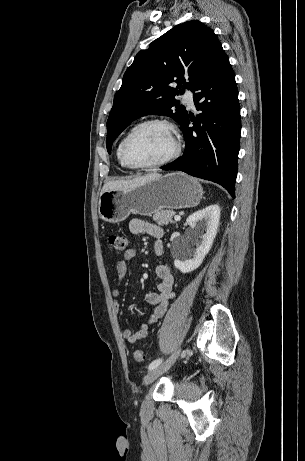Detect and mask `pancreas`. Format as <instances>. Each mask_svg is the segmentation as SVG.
<instances>
[{
    "instance_id": "pancreas-1",
    "label": "pancreas",
    "mask_w": 305,
    "mask_h": 461,
    "mask_svg": "<svg viewBox=\"0 0 305 461\" xmlns=\"http://www.w3.org/2000/svg\"><path fill=\"white\" fill-rule=\"evenodd\" d=\"M174 215L175 212L173 210H161L153 215V220L158 225L164 226L168 225L169 223H175V221H173Z\"/></svg>"
}]
</instances>
